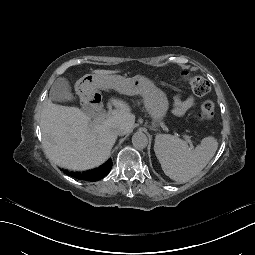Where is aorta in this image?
<instances>
[{"label":"aorta","mask_w":255,"mask_h":255,"mask_svg":"<svg viewBox=\"0 0 255 255\" xmlns=\"http://www.w3.org/2000/svg\"><path fill=\"white\" fill-rule=\"evenodd\" d=\"M132 144L137 149H143L148 144V138L143 132H136L132 136Z\"/></svg>","instance_id":"aorta-1"}]
</instances>
